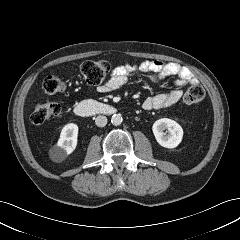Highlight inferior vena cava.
I'll list each match as a JSON object with an SVG mask.
<instances>
[{"instance_id": "obj_1", "label": "inferior vena cava", "mask_w": 240, "mask_h": 240, "mask_svg": "<svg viewBox=\"0 0 240 240\" xmlns=\"http://www.w3.org/2000/svg\"><path fill=\"white\" fill-rule=\"evenodd\" d=\"M95 124L98 127H104L107 124V117L103 115H99L95 119Z\"/></svg>"}]
</instances>
